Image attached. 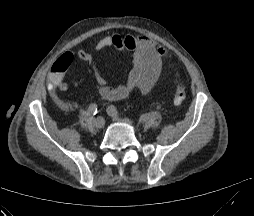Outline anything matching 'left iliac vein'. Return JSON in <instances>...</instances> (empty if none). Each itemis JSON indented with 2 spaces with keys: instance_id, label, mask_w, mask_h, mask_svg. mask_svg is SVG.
Segmentation results:
<instances>
[{
  "instance_id": "left-iliac-vein-1",
  "label": "left iliac vein",
  "mask_w": 254,
  "mask_h": 216,
  "mask_svg": "<svg viewBox=\"0 0 254 216\" xmlns=\"http://www.w3.org/2000/svg\"><path fill=\"white\" fill-rule=\"evenodd\" d=\"M108 114L112 117L113 120L115 121H119V122H123V123H126V124H131V121L128 119V118H123V117H120L118 115H115L111 112H108Z\"/></svg>"
}]
</instances>
